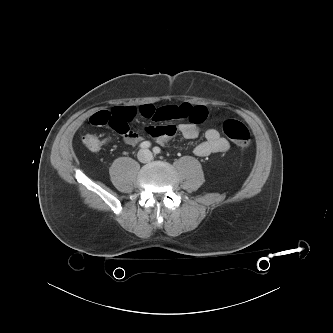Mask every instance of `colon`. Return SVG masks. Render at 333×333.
I'll use <instances>...</instances> for the list:
<instances>
[{
  "instance_id": "1",
  "label": "colon",
  "mask_w": 333,
  "mask_h": 333,
  "mask_svg": "<svg viewBox=\"0 0 333 333\" xmlns=\"http://www.w3.org/2000/svg\"><path fill=\"white\" fill-rule=\"evenodd\" d=\"M136 115L134 108H128L124 114V122L129 123ZM97 120L100 126L111 125L114 117L107 111L98 114ZM224 134L240 147H247L251 143V133L249 129L240 121L227 119L222 124ZM84 146L90 151H97L102 146V140L94 133H87L82 137Z\"/></svg>"
}]
</instances>
